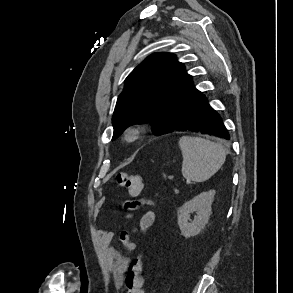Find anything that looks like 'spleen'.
<instances>
[{
	"instance_id": "spleen-1",
	"label": "spleen",
	"mask_w": 293,
	"mask_h": 293,
	"mask_svg": "<svg viewBox=\"0 0 293 293\" xmlns=\"http://www.w3.org/2000/svg\"><path fill=\"white\" fill-rule=\"evenodd\" d=\"M182 152V175L193 182H204L211 178L224 164L226 149L210 140L182 136L179 140Z\"/></svg>"
}]
</instances>
